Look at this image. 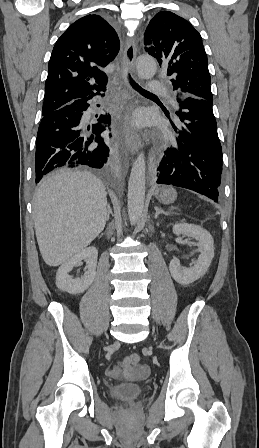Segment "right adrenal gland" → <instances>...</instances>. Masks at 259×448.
<instances>
[{"label":"right adrenal gland","instance_id":"1","mask_svg":"<svg viewBox=\"0 0 259 448\" xmlns=\"http://www.w3.org/2000/svg\"><path fill=\"white\" fill-rule=\"evenodd\" d=\"M109 214H112V212H111V210H110V206H109V204H108V216H107V222H108V220H109Z\"/></svg>","mask_w":259,"mask_h":448}]
</instances>
